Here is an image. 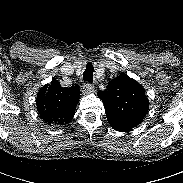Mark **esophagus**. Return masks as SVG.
Segmentation results:
<instances>
[{"mask_svg":"<svg viewBox=\"0 0 183 183\" xmlns=\"http://www.w3.org/2000/svg\"><path fill=\"white\" fill-rule=\"evenodd\" d=\"M93 90H94V85L91 84V83H86V84H84V86H83L82 92H83V94H89V93H91Z\"/></svg>","mask_w":183,"mask_h":183,"instance_id":"obj_1","label":"esophagus"}]
</instances>
